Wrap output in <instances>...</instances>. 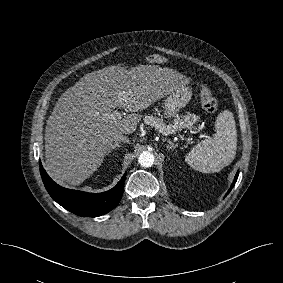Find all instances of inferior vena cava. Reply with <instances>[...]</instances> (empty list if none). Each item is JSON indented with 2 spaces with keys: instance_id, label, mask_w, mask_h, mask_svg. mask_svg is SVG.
Returning a JSON list of instances; mask_svg holds the SVG:
<instances>
[{
  "instance_id": "inferior-vena-cava-1",
  "label": "inferior vena cava",
  "mask_w": 283,
  "mask_h": 283,
  "mask_svg": "<svg viewBox=\"0 0 283 283\" xmlns=\"http://www.w3.org/2000/svg\"><path fill=\"white\" fill-rule=\"evenodd\" d=\"M114 141L116 142H126V143H129V139L124 136L123 134H117L114 136Z\"/></svg>"
}]
</instances>
